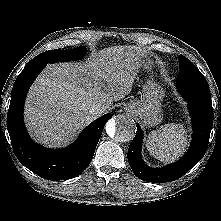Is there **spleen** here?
Returning <instances> with one entry per match:
<instances>
[{"instance_id": "1", "label": "spleen", "mask_w": 221, "mask_h": 221, "mask_svg": "<svg viewBox=\"0 0 221 221\" xmlns=\"http://www.w3.org/2000/svg\"><path fill=\"white\" fill-rule=\"evenodd\" d=\"M187 146L186 129L181 124L170 123L152 131L146 140L150 154L162 162L179 158Z\"/></svg>"}]
</instances>
